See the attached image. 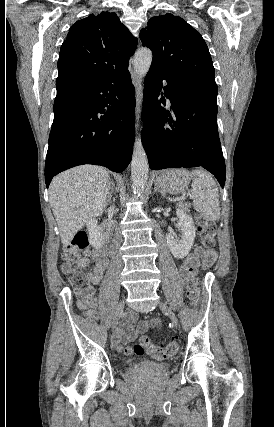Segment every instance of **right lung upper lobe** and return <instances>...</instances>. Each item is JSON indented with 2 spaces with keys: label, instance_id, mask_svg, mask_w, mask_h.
<instances>
[{
  "label": "right lung upper lobe",
  "instance_id": "obj_1",
  "mask_svg": "<svg viewBox=\"0 0 274 427\" xmlns=\"http://www.w3.org/2000/svg\"><path fill=\"white\" fill-rule=\"evenodd\" d=\"M137 39L115 13H92L69 29L58 59L55 102L82 94L128 70Z\"/></svg>",
  "mask_w": 274,
  "mask_h": 427
}]
</instances>
